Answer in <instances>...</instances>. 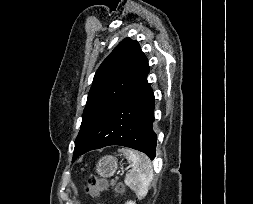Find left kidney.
I'll use <instances>...</instances> for the list:
<instances>
[{
	"instance_id": "1",
	"label": "left kidney",
	"mask_w": 253,
	"mask_h": 204,
	"mask_svg": "<svg viewBox=\"0 0 253 204\" xmlns=\"http://www.w3.org/2000/svg\"><path fill=\"white\" fill-rule=\"evenodd\" d=\"M125 204H136V203L133 201H127Z\"/></svg>"
}]
</instances>
